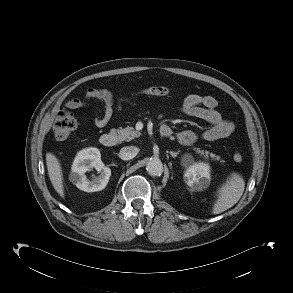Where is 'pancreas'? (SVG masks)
I'll return each mask as SVG.
<instances>
[{"mask_svg":"<svg viewBox=\"0 0 293 293\" xmlns=\"http://www.w3.org/2000/svg\"><path fill=\"white\" fill-rule=\"evenodd\" d=\"M115 133L118 134V139L120 142L130 141L134 138H138L141 135L139 131H136L133 127L129 126L123 129H117ZM194 151L206 159L211 157L214 161H220L224 163V160H222L220 156L210 153L209 151L200 150L199 148H194Z\"/></svg>","mask_w":293,"mask_h":293,"instance_id":"cf45deb5","label":"pancreas"}]
</instances>
